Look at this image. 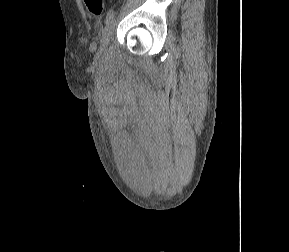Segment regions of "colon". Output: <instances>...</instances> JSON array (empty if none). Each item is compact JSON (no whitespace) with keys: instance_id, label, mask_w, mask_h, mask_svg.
Segmentation results:
<instances>
[{"instance_id":"1","label":"colon","mask_w":289,"mask_h":252,"mask_svg":"<svg viewBox=\"0 0 289 252\" xmlns=\"http://www.w3.org/2000/svg\"><path fill=\"white\" fill-rule=\"evenodd\" d=\"M84 4L89 13L101 15L104 10V0H84Z\"/></svg>"}]
</instances>
